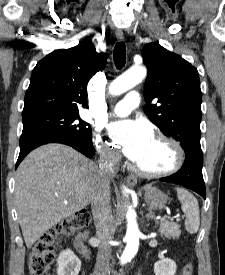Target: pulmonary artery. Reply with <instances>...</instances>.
I'll use <instances>...</instances> for the list:
<instances>
[{"label":"pulmonary artery","instance_id":"pulmonary-artery-1","mask_svg":"<svg viewBox=\"0 0 225 275\" xmlns=\"http://www.w3.org/2000/svg\"><path fill=\"white\" fill-rule=\"evenodd\" d=\"M140 104V94L136 91H130L125 98L112 106L111 112L118 116H126Z\"/></svg>","mask_w":225,"mask_h":275}]
</instances>
